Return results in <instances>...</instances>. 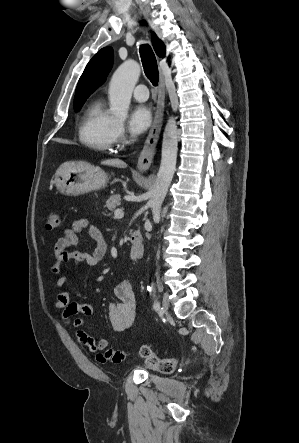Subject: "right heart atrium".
I'll use <instances>...</instances> for the list:
<instances>
[{"label": "right heart atrium", "instance_id": "1", "mask_svg": "<svg viewBox=\"0 0 299 443\" xmlns=\"http://www.w3.org/2000/svg\"><path fill=\"white\" fill-rule=\"evenodd\" d=\"M114 141H121L125 138V127L121 122L116 121L113 129Z\"/></svg>", "mask_w": 299, "mask_h": 443}]
</instances>
